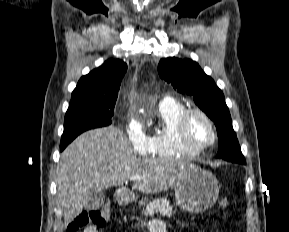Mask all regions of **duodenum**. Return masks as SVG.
<instances>
[{"label": "duodenum", "mask_w": 289, "mask_h": 232, "mask_svg": "<svg viewBox=\"0 0 289 232\" xmlns=\"http://www.w3.org/2000/svg\"><path fill=\"white\" fill-rule=\"evenodd\" d=\"M116 197L120 204H126L130 200L129 195L124 191H118Z\"/></svg>", "instance_id": "1"}]
</instances>
